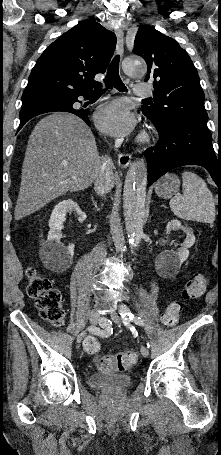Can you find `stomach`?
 Masks as SVG:
<instances>
[{
	"label": "stomach",
	"instance_id": "obj_1",
	"mask_svg": "<svg viewBox=\"0 0 221 455\" xmlns=\"http://www.w3.org/2000/svg\"><path fill=\"white\" fill-rule=\"evenodd\" d=\"M180 187V180L177 175L168 173L164 175L155 184V192L161 198H171L178 192Z\"/></svg>",
	"mask_w": 221,
	"mask_h": 455
}]
</instances>
